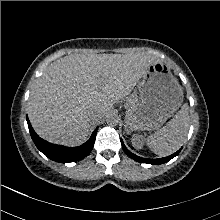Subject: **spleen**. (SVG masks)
Returning <instances> with one entry per match:
<instances>
[{"label":"spleen","instance_id":"spleen-1","mask_svg":"<svg viewBox=\"0 0 220 220\" xmlns=\"http://www.w3.org/2000/svg\"><path fill=\"white\" fill-rule=\"evenodd\" d=\"M189 121V106L184 104L166 126L146 138L149 149L158 156L176 152L186 140Z\"/></svg>","mask_w":220,"mask_h":220}]
</instances>
